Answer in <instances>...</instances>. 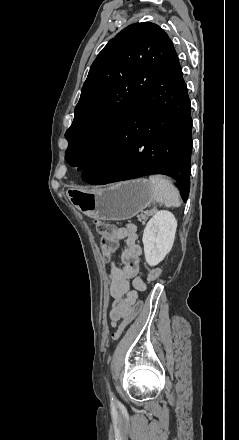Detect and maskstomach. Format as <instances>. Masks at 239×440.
Returning a JSON list of instances; mask_svg holds the SVG:
<instances>
[{"instance_id":"stomach-1","label":"stomach","mask_w":239,"mask_h":440,"mask_svg":"<svg viewBox=\"0 0 239 440\" xmlns=\"http://www.w3.org/2000/svg\"><path fill=\"white\" fill-rule=\"evenodd\" d=\"M154 188L149 180H128L105 188L74 190V206L93 220H129L152 204Z\"/></svg>"}]
</instances>
